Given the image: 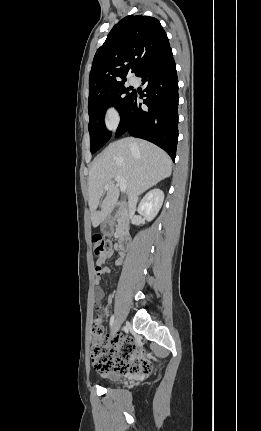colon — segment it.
Returning <instances> with one entry per match:
<instances>
[{
    "label": "colon",
    "mask_w": 261,
    "mask_h": 431,
    "mask_svg": "<svg viewBox=\"0 0 261 431\" xmlns=\"http://www.w3.org/2000/svg\"><path fill=\"white\" fill-rule=\"evenodd\" d=\"M94 255L100 260L111 250L110 241L95 235L92 239ZM100 268L96 267V271ZM91 357L95 369L101 373H130L147 375L152 371L150 362L137 356L133 342L125 337L109 338L104 333L103 321L94 319L92 326Z\"/></svg>",
    "instance_id": "colon-1"
}]
</instances>
